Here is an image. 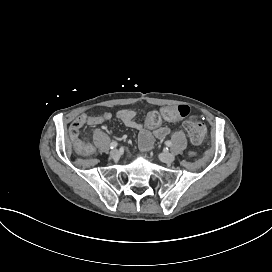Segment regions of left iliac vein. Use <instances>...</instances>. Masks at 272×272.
Wrapping results in <instances>:
<instances>
[{"instance_id": "left-iliac-vein-1", "label": "left iliac vein", "mask_w": 272, "mask_h": 272, "mask_svg": "<svg viewBox=\"0 0 272 272\" xmlns=\"http://www.w3.org/2000/svg\"><path fill=\"white\" fill-rule=\"evenodd\" d=\"M160 160L164 163L170 164L175 160V155L169 152H163L160 154Z\"/></svg>"}]
</instances>
